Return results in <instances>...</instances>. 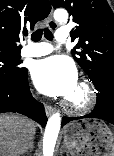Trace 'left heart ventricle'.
<instances>
[{"mask_svg":"<svg viewBox=\"0 0 114 156\" xmlns=\"http://www.w3.org/2000/svg\"><path fill=\"white\" fill-rule=\"evenodd\" d=\"M69 99H71L73 102L79 103L83 100V92L82 90L76 86L72 94L69 96Z\"/></svg>","mask_w":114,"mask_h":156,"instance_id":"left-heart-ventricle-1","label":"left heart ventricle"}]
</instances>
